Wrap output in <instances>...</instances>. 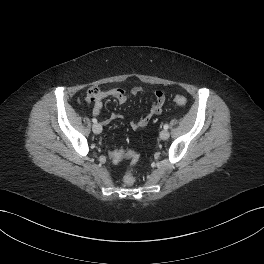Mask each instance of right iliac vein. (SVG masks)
Instances as JSON below:
<instances>
[{
    "label": "right iliac vein",
    "instance_id": "63e3f726",
    "mask_svg": "<svg viewBox=\"0 0 264 264\" xmlns=\"http://www.w3.org/2000/svg\"><path fill=\"white\" fill-rule=\"evenodd\" d=\"M92 130L94 133L96 134H99L102 132V126L98 123H95L93 126H92Z\"/></svg>",
    "mask_w": 264,
    "mask_h": 264
}]
</instances>
